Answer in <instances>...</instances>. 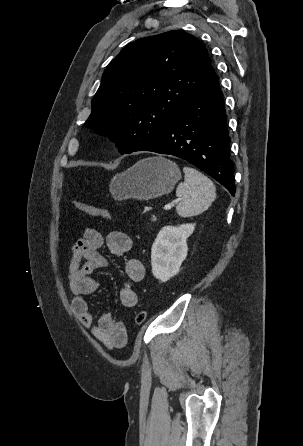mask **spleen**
Wrapping results in <instances>:
<instances>
[{
    "instance_id": "obj_1",
    "label": "spleen",
    "mask_w": 303,
    "mask_h": 446,
    "mask_svg": "<svg viewBox=\"0 0 303 446\" xmlns=\"http://www.w3.org/2000/svg\"><path fill=\"white\" fill-rule=\"evenodd\" d=\"M185 179L176 189V196L182 201L176 211L181 217H192L206 211L216 198L213 182L200 171L184 167Z\"/></svg>"
}]
</instances>
